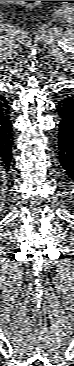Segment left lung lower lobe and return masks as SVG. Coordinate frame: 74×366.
I'll use <instances>...</instances> for the list:
<instances>
[{"label": "left lung lower lobe", "mask_w": 74, "mask_h": 366, "mask_svg": "<svg viewBox=\"0 0 74 366\" xmlns=\"http://www.w3.org/2000/svg\"><path fill=\"white\" fill-rule=\"evenodd\" d=\"M61 118L56 139L60 165L70 178L74 177V92L66 94L57 104Z\"/></svg>", "instance_id": "left-lung-lower-lobe-1"}]
</instances>
